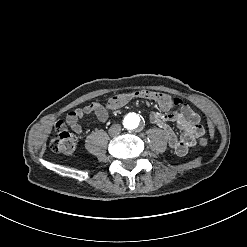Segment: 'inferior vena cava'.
<instances>
[{
	"label": "inferior vena cava",
	"instance_id": "602c4592",
	"mask_svg": "<svg viewBox=\"0 0 247 247\" xmlns=\"http://www.w3.org/2000/svg\"><path fill=\"white\" fill-rule=\"evenodd\" d=\"M120 131H121V125L120 124H114L110 127L109 134L111 136H116L120 133Z\"/></svg>",
	"mask_w": 247,
	"mask_h": 247
}]
</instances>
